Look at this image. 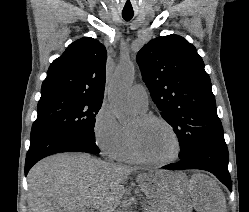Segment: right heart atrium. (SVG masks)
Listing matches in <instances>:
<instances>
[{"mask_svg":"<svg viewBox=\"0 0 249 212\" xmlns=\"http://www.w3.org/2000/svg\"><path fill=\"white\" fill-rule=\"evenodd\" d=\"M92 131L96 145L106 157L113 160L122 159L128 145L127 136L108 103H103L97 110Z\"/></svg>","mask_w":249,"mask_h":212,"instance_id":"obj_1","label":"right heart atrium"}]
</instances>
